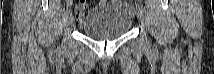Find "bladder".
Wrapping results in <instances>:
<instances>
[{
  "label": "bladder",
  "mask_w": 214,
  "mask_h": 74,
  "mask_svg": "<svg viewBox=\"0 0 214 74\" xmlns=\"http://www.w3.org/2000/svg\"><path fill=\"white\" fill-rule=\"evenodd\" d=\"M132 13L124 6L95 8L91 16L80 25L81 31L90 38L113 39L128 32Z\"/></svg>",
  "instance_id": "31cf9c89"
}]
</instances>
